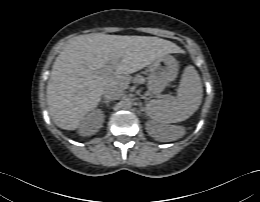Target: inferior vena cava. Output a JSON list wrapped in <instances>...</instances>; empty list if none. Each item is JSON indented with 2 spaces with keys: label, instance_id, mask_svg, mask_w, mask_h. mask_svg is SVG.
<instances>
[{
  "label": "inferior vena cava",
  "instance_id": "602c4592",
  "mask_svg": "<svg viewBox=\"0 0 260 202\" xmlns=\"http://www.w3.org/2000/svg\"><path fill=\"white\" fill-rule=\"evenodd\" d=\"M103 96L109 101L120 99L123 96V89L121 87L109 88L104 91Z\"/></svg>",
  "mask_w": 260,
  "mask_h": 202
}]
</instances>
